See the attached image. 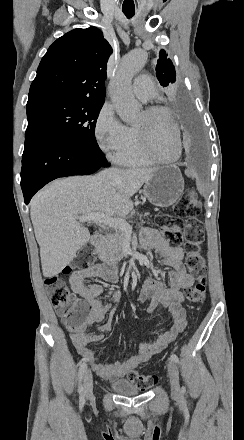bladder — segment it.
<instances>
[{
  "label": "bladder",
  "mask_w": 244,
  "mask_h": 440,
  "mask_svg": "<svg viewBox=\"0 0 244 440\" xmlns=\"http://www.w3.org/2000/svg\"><path fill=\"white\" fill-rule=\"evenodd\" d=\"M112 386L116 393L123 395H135L140 393V389L136 388L128 381H116L112 382Z\"/></svg>",
  "instance_id": "31cf9c89"
}]
</instances>
